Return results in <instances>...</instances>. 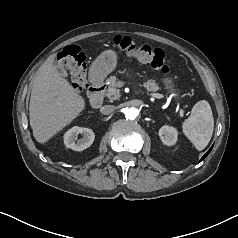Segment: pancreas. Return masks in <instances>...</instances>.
Here are the masks:
<instances>
[{"mask_svg": "<svg viewBox=\"0 0 238 238\" xmlns=\"http://www.w3.org/2000/svg\"><path fill=\"white\" fill-rule=\"evenodd\" d=\"M108 84V89L106 91V96L112 100H117L120 98V90L118 89V83L116 76H111L106 80ZM143 86L148 91H158L159 86L156 84L154 80H147L143 83Z\"/></svg>", "mask_w": 238, "mask_h": 238, "instance_id": "pancreas-1", "label": "pancreas"}]
</instances>
